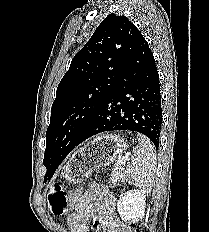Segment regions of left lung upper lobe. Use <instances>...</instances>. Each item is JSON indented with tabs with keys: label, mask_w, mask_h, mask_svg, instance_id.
Here are the masks:
<instances>
[{
	"label": "left lung upper lobe",
	"mask_w": 209,
	"mask_h": 232,
	"mask_svg": "<svg viewBox=\"0 0 209 232\" xmlns=\"http://www.w3.org/2000/svg\"><path fill=\"white\" fill-rule=\"evenodd\" d=\"M142 37L125 16L109 14L74 56L57 87L46 132L44 181L50 180L75 148L95 113L110 95Z\"/></svg>",
	"instance_id": "5c2ea615"
}]
</instances>
